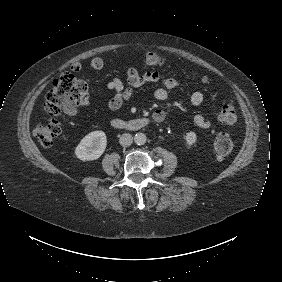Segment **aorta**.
Wrapping results in <instances>:
<instances>
[{
	"instance_id": "obj_1",
	"label": "aorta",
	"mask_w": 282,
	"mask_h": 282,
	"mask_svg": "<svg viewBox=\"0 0 282 282\" xmlns=\"http://www.w3.org/2000/svg\"><path fill=\"white\" fill-rule=\"evenodd\" d=\"M147 141V137L143 133H136L134 136V142L136 145H144Z\"/></svg>"
}]
</instances>
